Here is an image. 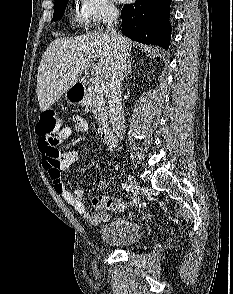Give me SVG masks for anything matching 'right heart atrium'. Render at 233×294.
<instances>
[{
    "mask_svg": "<svg viewBox=\"0 0 233 294\" xmlns=\"http://www.w3.org/2000/svg\"><path fill=\"white\" fill-rule=\"evenodd\" d=\"M78 13L88 28H99L118 16L113 0H78Z\"/></svg>",
    "mask_w": 233,
    "mask_h": 294,
    "instance_id": "1",
    "label": "right heart atrium"
}]
</instances>
